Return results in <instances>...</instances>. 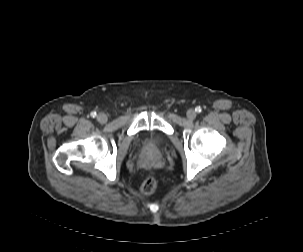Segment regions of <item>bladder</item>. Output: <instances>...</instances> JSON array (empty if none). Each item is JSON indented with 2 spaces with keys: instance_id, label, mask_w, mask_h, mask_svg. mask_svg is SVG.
Instances as JSON below:
<instances>
[{
  "instance_id": "31cf9c89",
  "label": "bladder",
  "mask_w": 303,
  "mask_h": 252,
  "mask_svg": "<svg viewBox=\"0 0 303 252\" xmlns=\"http://www.w3.org/2000/svg\"><path fill=\"white\" fill-rule=\"evenodd\" d=\"M139 146L150 150H163L168 145V140L164 136L155 132H146L139 138Z\"/></svg>"
}]
</instances>
